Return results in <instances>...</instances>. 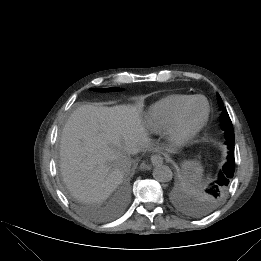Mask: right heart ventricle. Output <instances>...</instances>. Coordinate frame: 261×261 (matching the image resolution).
<instances>
[{
	"label": "right heart ventricle",
	"instance_id": "e07e8e85",
	"mask_svg": "<svg viewBox=\"0 0 261 261\" xmlns=\"http://www.w3.org/2000/svg\"><path fill=\"white\" fill-rule=\"evenodd\" d=\"M191 97L187 94H170L153 103L146 113L148 130L155 134L165 132L179 108Z\"/></svg>",
	"mask_w": 261,
	"mask_h": 261
}]
</instances>
